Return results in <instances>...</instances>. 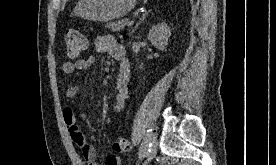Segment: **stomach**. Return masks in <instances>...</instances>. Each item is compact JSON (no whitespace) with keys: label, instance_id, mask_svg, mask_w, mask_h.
<instances>
[{"label":"stomach","instance_id":"obj_1","mask_svg":"<svg viewBox=\"0 0 276 165\" xmlns=\"http://www.w3.org/2000/svg\"><path fill=\"white\" fill-rule=\"evenodd\" d=\"M136 0H79L74 14L90 21H110L126 15Z\"/></svg>","mask_w":276,"mask_h":165}]
</instances>
